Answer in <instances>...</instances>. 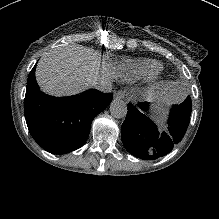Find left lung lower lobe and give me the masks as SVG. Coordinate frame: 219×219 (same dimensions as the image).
<instances>
[{
	"mask_svg": "<svg viewBox=\"0 0 219 219\" xmlns=\"http://www.w3.org/2000/svg\"><path fill=\"white\" fill-rule=\"evenodd\" d=\"M147 103L139 104L140 109ZM191 111L176 105L171 111L168 130L161 133L154 122L131 103L121 127L126 150L141 159H156L168 154L181 141L190 122Z\"/></svg>",
	"mask_w": 219,
	"mask_h": 219,
	"instance_id": "left-lung-lower-lobe-1",
	"label": "left lung lower lobe"
}]
</instances>
